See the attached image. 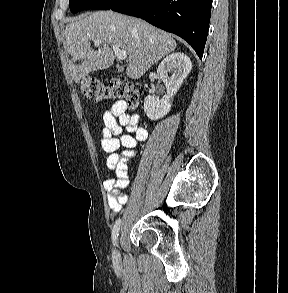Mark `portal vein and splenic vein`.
Masks as SVG:
<instances>
[{
    "instance_id": "1",
    "label": "portal vein and splenic vein",
    "mask_w": 288,
    "mask_h": 293,
    "mask_svg": "<svg viewBox=\"0 0 288 293\" xmlns=\"http://www.w3.org/2000/svg\"><path fill=\"white\" fill-rule=\"evenodd\" d=\"M96 46L101 44V40H93ZM113 51L119 60H125L127 58V53L125 50H121L117 45H112Z\"/></svg>"
}]
</instances>
